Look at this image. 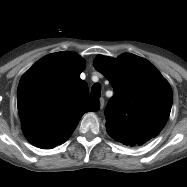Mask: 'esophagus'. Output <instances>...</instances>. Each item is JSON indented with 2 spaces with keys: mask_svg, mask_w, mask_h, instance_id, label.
I'll use <instances>...</instances> for the list:
<instances>
[{
  "mask_svg": "<svg viewBox=\"0 0 187 187\" xmlns=\"http://www.w3.org/2000/svg\"><path fill=\"white\" fill-rule=\"evenodd\" d=\"M100 108L102 109L104 107V98H100Z\"/></svg>",
  "mask_w": 187,
  "mask_h": 187,
  "instance_id": "obj_1",
  "label": "esophagus"
}]
</instances>
